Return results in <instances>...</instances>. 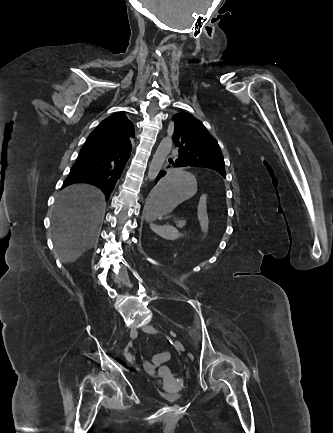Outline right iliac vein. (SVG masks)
<instances>
[{"mask_svg":"<svg viewBox=\"0 0 333 433\" xmlns=\"http://www.w3.org/2000/svg\"><path fill=\"white\" fill-rule=\"evenodd\" d=\"M130 337H131L132 339H135V338L137 337V330H136L135 328H132V329L130 330ZM127 361H128L129 363L132 362V356H131L130 353H128V355H127Z\"/></svg>","mask_w":333,"mask_h":433,"instance_id":"right-iliac-vein-1","label":"right iliac vein"}]
</instances>
